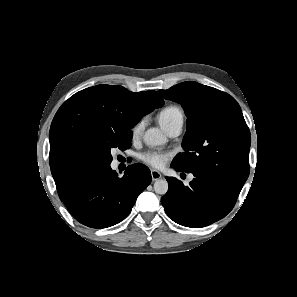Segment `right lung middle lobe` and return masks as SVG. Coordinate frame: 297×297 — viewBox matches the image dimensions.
Listing matches in <instances>:
<instances>
[{
  "label": "right lung middle lobe",
  "mask_w": 297,
  "mask_h": 297,
  "mask_svg": "<svg viewBox=\"0 0 297 297\" xmlns=\"http://www.w3.org/2000/svg\"><path fill=\"white\" fill-rule=\"evenodd\" d=\"M132 131L108 134L96 139L89 144L84 151V158L88 168L95 169L110 165L112 155L111 148H129L131 145Z\"/></svg>",
  "instance_id": "dd1d6c3e"
}]
</instances>
